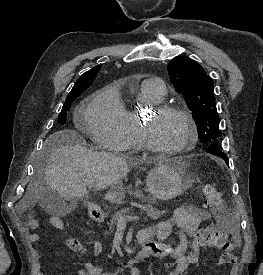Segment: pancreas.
<instances>
[{"label":"pancreas","instance_id":"obj_1","mask_svg":"<svg viewBox=\"0 0 263 275\" xmlns=\"http://www.w3.org/2000/svg\"><path fill=\"white\" fill-rule=\"evenodd\" d=\"M133 195H135L137 198H139L142 202H146L147 204L143 205L140 204L138 205L141 210L146 212V216L153 219L157 220L160 218L162 214H164V211H160L157 208L153 207L152 204L155 203V199L151 196L145 197L142 193L140 192H134ZM131 209L130 208H123L118 212H115L111 216L110 220V226L109 229L112 230L116 222L118 221V218L120 216H125Z\"/></svg>","mask_w":263,"mask_h":275}]
</instances>
